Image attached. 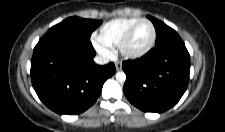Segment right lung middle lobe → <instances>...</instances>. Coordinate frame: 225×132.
Here are the masks:
<instances>
[{
  "label": "right lung middle lobe",
  "instance_id": "obj_1",
  "mask_svg": "<svg viewBox=\"0 0 225 132\" xmlns=\"http://www.w3.org/2000/svg\"><path fill=\"white\" fill-rule=\"evenodd\" d=\"M102 23L99 20L70 17L53 26L43 37H73L89 40L91 33Z\"/></svg>",
  "mask_w": 225,
  "mask_h": 132
}]
</instances>
